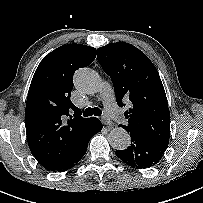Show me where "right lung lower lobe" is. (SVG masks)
<instances>
[{"label":"right lung lower lobe","instance_id":"right-lung-lower-lobe-1","mask_svg":"<svg viewBox=\"0 0 203 203\" xmlns=\"http://www.w3.org/2000/svg\"><path fill=\"white\" fill-rule=\"evenodd\" d=\"M102 123L99 119L96 118V120L92 123L90 126L88 132L85 134V136L80 141L79 145L74 150V153L70 157V159L63 165V167L59 171H66L70 169L71 167L75 166L81 158L85 155L87 151V146L89 139L96 134L97 132L101 131L102 129Z\"/></svg>","mask_w":203,"mask_h":203}]
</instances>
